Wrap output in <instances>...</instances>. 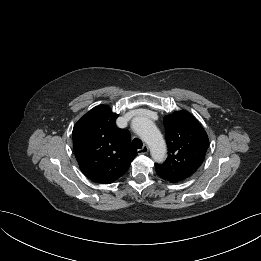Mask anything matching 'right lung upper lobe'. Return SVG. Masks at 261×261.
Masks as SVG:
<instances>
[{
	"instance_id": "cb5924a9",
	"label": "right lung upper lobe",
	"mask_w": 261,
	"mask_h": 261,
	"mask_svg": "<svg viewBox=\"0 0 261 261\" xmlns=\"http://www.w3.org/2000/svg\"><path fill=\"white\" fill-rule=\"evenodd\" d=\"M111 108L99 105L87 112L73 128V148L86 177L109 184L122 176L137 155L130 135L116 126Z\"/></svg>"
}]
</instances>
